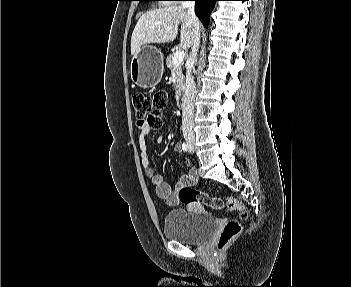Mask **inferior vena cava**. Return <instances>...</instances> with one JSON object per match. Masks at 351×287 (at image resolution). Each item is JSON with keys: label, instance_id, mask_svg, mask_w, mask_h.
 <instances>
[{"label": "inferior vena cava", "instance_id": "inferior-vena-cava-1", "mask_svg": "<svg viewBox=\"0 0 351 287\" xmlns=\"http://www.w3.org/2000/svg\"><path fill=\"white\" fill-rule=\"evenodd\" d=\"M182 7L187 9L188 16L197 29L193 37V43L191 47V53L187 60L186 67V80H185V93L183 96V109H182V132L185 139L194 140L195 135L193 131L194 124V98H195V82L192 76V68L197 61V52L200 46V31H199V20L195 15V2L194 1H183Z\"/></svg>", "mask_w": 351, "mask_h": 287}]
</instances>
